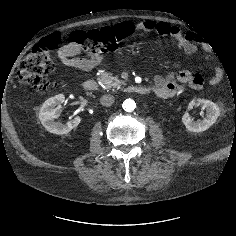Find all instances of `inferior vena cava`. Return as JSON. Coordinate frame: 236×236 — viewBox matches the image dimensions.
Segmentation results:
<instances>
[{"instance_id": "1", "label": "inferior vena cava", "mask_w": 236, "mask_h": 236, "mask_svg": "<svg viewBox=\"0 0 236 236\" xmlns=\"http://www.w3.org/2000/svg\"><path fill=\"white\" fill-rule=\"evenodd\" d=\"M115 101V98L113 95L111 94H107V95H103L101 98H100V102L103 106H111Z\"/></svg>"}]
</instances>
